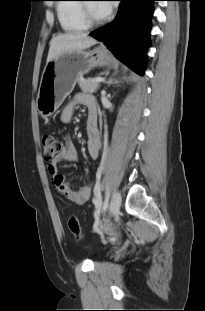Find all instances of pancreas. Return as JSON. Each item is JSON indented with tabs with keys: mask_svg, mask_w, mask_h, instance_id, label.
Wrapping results in <instances>:
<instances>
[{
	"mask_svg": "<svg viewBox=\"0 0 205 311\" xmlns=\"http://www.w3.org/2000/svg\"><path fill=\"white\" fill-rule=\"evenodd\" d=\"M79 87L85 93H94L99 88V83L95 82L94 79H82L77 80Z\"/></svg>",
	"mask_w": 205,
	"mask_h": 311,
	"instance_id": "1",
	"label": "pancreas"
}]
</instances>
